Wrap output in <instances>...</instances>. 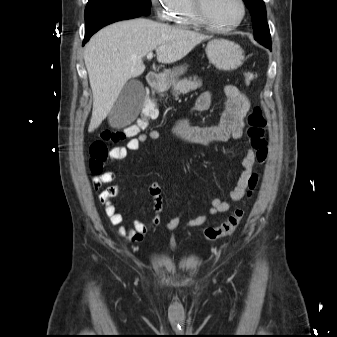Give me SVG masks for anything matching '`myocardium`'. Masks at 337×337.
Masks as SVG:
<instances>
[{
    "instance_id": "myocardium-1",
    "label": "myocardium",
    "mask_w": 337,
    "mask_h": 337,
    "mask_svg": "<svg viewBox=\"0 0 337 337\" xmlns=\"http://www.w3.org/2000/svg\"><path fill=\"white\" fill-rule=\"evenodd\" d=\"M237 1L241 9V14L238 20L229 25H218L212 22L207 17L205 9H204V0H191L193 13L197 21L201 25L205 26L206 28L212 31H216V32H229V31L236 29L238 26H240L243 23L246 17V13H247L246 4L244 0H237Z\"/></svg>"
}]
</instances>
